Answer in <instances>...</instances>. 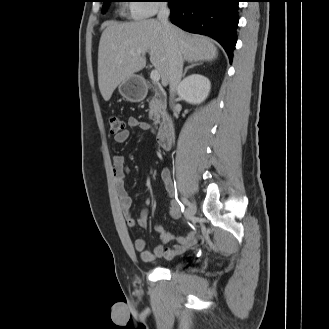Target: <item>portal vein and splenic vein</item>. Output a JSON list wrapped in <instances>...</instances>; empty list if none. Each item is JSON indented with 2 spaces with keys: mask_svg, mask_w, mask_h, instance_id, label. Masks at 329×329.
Here are the masks:
<instances>
[{
  "mask_svg": "<svg viewBox=\"0 0 329 329\" xmlns=\"http://www.w3.org/2000/svg\"><path fill=\"white\" fill-rule=\"evenodd\" d=\"M150 78H151L153 83L159 82V80H160L159 71L157 69H153L150 73Z\"/></svg>",
  "mask_w": 329,
  "mask_h": 329,
  "instance_id": "portal-vein-and-splenic-vein-1",
  "label": "portal vein and splenic vein"
}]
</instances>
